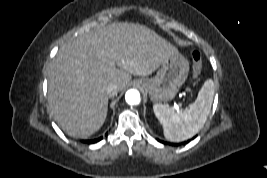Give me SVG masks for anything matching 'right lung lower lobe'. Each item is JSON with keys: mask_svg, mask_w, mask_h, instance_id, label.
<instances>
[{"mask_svg": "<svg viewBox=\"0 0 267 178\" xmlns=\"http://www.w3.org/2000/svg\"><path fill=\"white\" fill-rule=\"evenodd\" d=\"M102 138H99V139H95V140H91V141H87L88 143H95V142H98L99 140H101Z\"/></svg>", "mask_w": 267, "mask_h": 178, "instance_id": "98d812e1", "label": "right lung lower lobe"}]
</instances>
